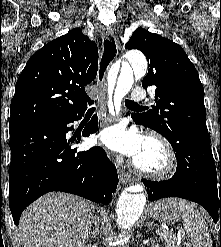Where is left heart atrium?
Returning a JSON list of instances; mask_svg holds the SVG:
<instances>
[{"label": "left heart atrium", "instance_id": "obj_1", "mask_svg": "<svg viewBox=\"0 0 221 247\" xmlns=\"http://www.w3.org/2000/svg\"><path fill=\"white\" fill-rule=\"evenodd\" d=\"M99 139L109 149L132 159L139 154L146 141V137L137 128H128L124 123L105 128L100 133Z\"/></svg>", "mask_w": 221, "mask_h": 247}]
</instances>
